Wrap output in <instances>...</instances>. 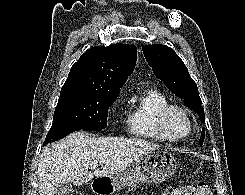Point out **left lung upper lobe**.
Listing matches in <instances>:
<instances>
[{"label":"left lung upper lobe","instance_id":"5c2ea615","mask_svg":"<svg viewBox=\"0 0 245 195\" xmlns=\"http://www.w3.org/2000/svg\"><path fill=\"white\" fill-rule=\"evenodd\" d=\"M154 74L164 82L165 86L184 100L186 106L197 112L204 123V109L199 97L196 83L190 77L188 69L173 49L165 45H146L142 47ZM204 141V130H202L200 145Z\"/></svg>","mask_w":245,"mask_h":195}]
</instances>
